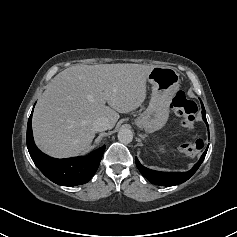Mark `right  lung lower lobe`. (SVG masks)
<instances>
[{"mask_svg":"<svg viewBox=\"0 0 237 237\" xmlns=\"http://www.w3.org/2000/svg\"><path fill=\"white\" fill-rule=\"evenodd\" d=\"M32 113L28 120L26 142L29 154L38 169L48 179L59 185L76 186L87 183L99 166L105 145L86 157L66 159L49 157L35 146L31 125Z\"/></svg>","mask_w":237,"mask_h":237,"instance_id":"right-lung-lower-lobe-1","label":"right lung lower lobe"}]
</instances>
